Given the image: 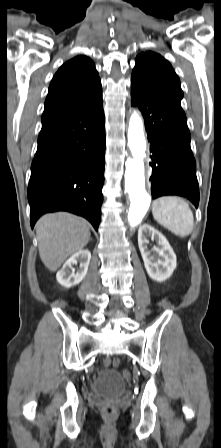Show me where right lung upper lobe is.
<instances>
[{"label":"right lung upper lobe","mask_w":221,"mask_h":448,"mask_svg":"<svg viewBox=\"0 0 221 448\" xmlns=\"http://www.w3.org/2000/svg\"><path fill=\"white\" fill-rule=\"evenodd\" d=\"M102 96L93 61L83 55L64 63L54 75L45 101L42 125L51 123Z\"/></svg>","instance_id":"cb5924a9"}]
</instances>
